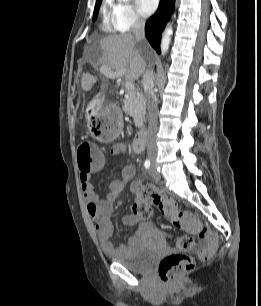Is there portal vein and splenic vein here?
Wrapping results in <instances>:
<instances>
[{
    "mask_svg": "<svg viewBox=\"0 0 261 306\" xmlns=\"http://www.w3.org/2000/svg\"><path fill=\"white\" fill-rule=\"evenodd\" d=\"M104 72L107 73V74L113 75L114 77H118V76L124 75V74L126 73V70L124 69V70H121V71H119V72H115V73L112 74L111 71H110L109 69H105ZM125 87H126L128 90H135L134 84H133L132 82H130V81H126V82H125Z\"/></svg>",
    "mask_w": 261,
    "mask_h": 306,
    "instance_id": "1",
    "label": "portal vein and splenic vein"
}]
</instances>
